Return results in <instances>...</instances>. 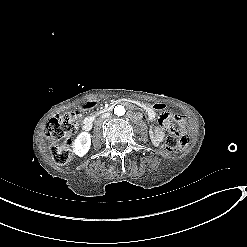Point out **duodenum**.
I'll return each instance as SVG.
<instances>
[{"label": "duodenum", "mask_w": 247, "mask_h": 247, "mask_svg": "<svg viewBox=\"0 0 247 247\" xmlns=\"http://www.w3.org/2000/svg\"><path fill=\"white\" fill-rule=\"evenodd\" d=\"M118 104H127L130 106H134L136 104V102L134 100H130V99H119V100L114 101L110 106L105 108L102 112L103 113L110 112ZM93 106H94L93 102H88V103L83 105V109L87 110V109L92 108ZM94 118H95V116H89V117L84 119L82 127L85 131L91 130V128L93 126Z\"/></svg>", "instance_id": "duodenum-1"}]
</instances>
